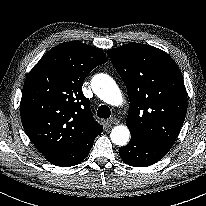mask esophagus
I'll return each mask as SVG.
<instances>
[{
    "label": "esophagus",
    "instance_id": "34e87169",
    "mask_svg": "<svg viewBox=\"0 0 206 206\" xmlns=\"http://www.w3.org/2000/svg\"><path fill=\"white\" fill-rule=\"evenodd\" d=\"M118 122H119L118 119L115 117H112L108 120V123L112 125L118 124Z\"/></svg>",
    "mask_w": 206,
    "mask_h": 206
}]
</instances>
